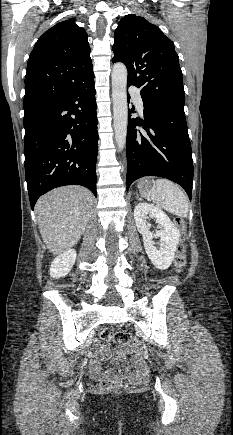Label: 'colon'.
Segmentation results:
<instances>
[{
	"mask_svg": "<svg viewBox=\"0 0 233 435\" xmlns=\"http://www.w3.org/2000/svg\"><path fill=\"white\" fill-rule=\"evenodd\" d=\"M175 224L178 228L184 230L185 222L182 218L176 217ZM186 265V246L184 244H180L177 247V252L175 256V267L178 272L182 271V269ZM98 336L100 340L108 342L113 341L115 343H125L129 345H137V342L132 338V336L123 331L114 332L110 328L103 327L98 331ZM101 390L106 393H115L122 391L126 388V384L123 381L117 379L106 378L101 381L100 384Z\"/></svg>",
	"mask_w": 233,
	"mask_h": 435,
	"instance_id": "obj_1",
	"label": "colon"
}]
</instances>
